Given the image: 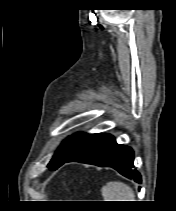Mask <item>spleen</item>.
Returning <instances> with one entry per match:
<instances>
[{
    "label": "spleen",
    "instance_id": "obj_1",
    "mask_svg": "<svg viewBox=\"0 0 176 211\" xmlns=\"http://www.w3.org/2000/svg\"><path fill=\"white\" fill-rule=\"evenodd\" d=\"M101 193L104 201H136L132 188L120 181L108 182Z\"/></svg>",
    "mask_w": 176,
    "mask_h": 211
}]
</instances>
